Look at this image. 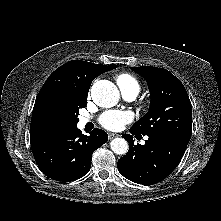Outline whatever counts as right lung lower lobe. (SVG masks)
<instances>
[{
    "mask_svg": "<svg viewBox=\"0 0 221 221\" xmlns=\"http://www.w3.org/2000/svg\"><path fill=\"white\" fill-rule=\"evenodd\" d=\"M107 140V133L101 129L96 128L85 136L73 126L32 144V153L47 177L69 182L89 171L93 152Z\"/></svg>",
    "mask_w": 221,
    "mask_h": 221,
    "instance_id": "right-lung-lower-lobe-1",
    "label": "right lung lower lobe"
}]
</instances>
